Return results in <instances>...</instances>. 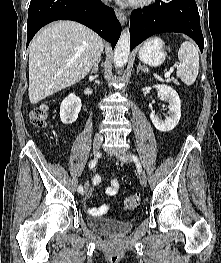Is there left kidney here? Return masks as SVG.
Instances as JSON below:
<instances>
[{
    "label": "left kidney",
    "mask_w": 221,
    "mask_h": 263,
    "mask_svg": "<svg viewBox=\"0 0 221 263\" xmlns=\"http://www.w3.org/2000/svg\"><path fill=\"white\" fill-rule=\"evenodd\" d=\"M159 91L161 100H166L169 103L168 116L162 120L155 115V112L150 114V119L155 128L161 132H168L175 128L181 117V100L178 93L167 85H155Z\"/></svg>",
    "instance_id": "1"
}]
</instances>
